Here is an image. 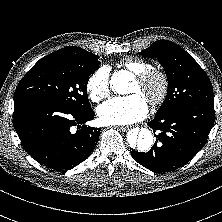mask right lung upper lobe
I'll list each match as a JSON object with an SVG mask.
<instances>
[{"mask_svg": "<svg viewBox=\"0 0 222 222\" xmlns=\"http://www.w3.org/2000/svg\"><path fill=\"white\" fill-rule=\"evenodd\" d=\"M76 49H78V47L68 46V47H65V48L60 49V51H61V50H76Z\"/></svg>", "mask_w": 222, "mask_h": 222, "instance_id": "obj_1", "label": "right lung upper lobe"}]
</instances>
